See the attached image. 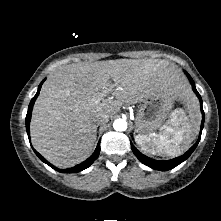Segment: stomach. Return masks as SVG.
Wrapping results in <instances>:
<instances>
[{"label": "stomach", "mask_w": 221, "mask_h": 221, "mask_svg": "<svg viewBox=\"0 0 221 221\" xmlns=\"http://www.w3.org/2000/svg\"><path fill=\"white\" fill-rule=\"evenodd\" d=\"M178 98L174 87H167L154 92L143 101L136 118V131L150 135L161 129L165 121L170 118V111Z\"/></svg>", "instance_id": "stomach-1"}]
</instances>
